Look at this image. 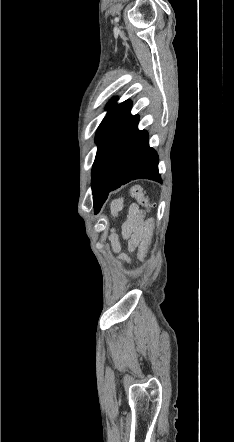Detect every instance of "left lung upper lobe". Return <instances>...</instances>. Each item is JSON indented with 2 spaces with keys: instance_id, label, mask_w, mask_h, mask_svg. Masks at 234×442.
I'll list each match as a JSON object with an SVG mask.
<instances>
[{
  "instance_id": "left-lung-upper-lobe-1",
  "label": "left lung upper lobe",
  "mask_w": 234,
  "mask_h": 442,
  "mask_svg": "<svg viewBox=\"0 0 234 442\" xmlns=\"http://www.w3.org/2000/svg\"><path fill=\"white\" fill-rule=\"evenodd\" d=\"M116 101V99H113V100H111V102L108 104V107H111V109H110V111L108 112V114L116 107V106H113V103ZM107 114V115H108Z\"/></svg>"
}]
</instances>
